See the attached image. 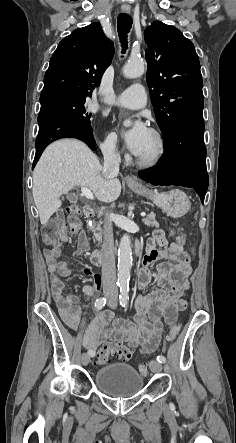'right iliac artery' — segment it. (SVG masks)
<instances>
[{
	"mask_svg": "<svg viewBox=\"0 0 236 443\" xmlns=\"http://www.w3.org/2000/svg\"><path fill=\"white\" fill-rule=\"evenodd\" d=\"M105 304H106V299H105L104 297H101V298H99V299L96 300V302H95V307H96L98 310H100V309H102V308L105 306ZM88 354H89L90 356H94V355H95V352L89 350V351H88Z\"/></svg>",
	"mask_w": 236,
	"mask_h": 443,
	"instance_id": "1",
	"label": "right iliac artery"
}]
</instances>
